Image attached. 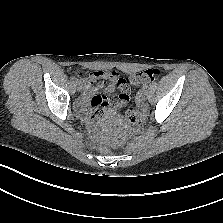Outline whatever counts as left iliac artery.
<instances>
[{
	"instance_id": "44dca946",
	"label": "left iliac artery",
	"mask_w": 223,
	"mask_h": 223,
	"mask_svg": "<svg viewBox=\"0 0 223 223\" xmlns=\"http://www.w3.org/2000/svg\"><path fill=\"white\" fill-rule=\"evenodd\" d=\"M147 88V86H143V89Z\"/></svg>"
}]
</instances>
